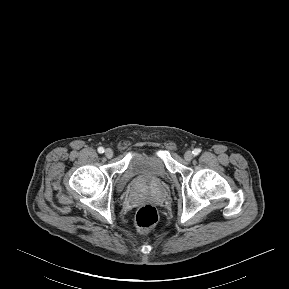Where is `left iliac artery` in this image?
<instances>
[{
	"instance_id": "obj_1",
	"label": "left iliac artery",
	"mask_w": 289,
	"mask_h": 289,
	"mask_svg": "<svg viewBox=\"0 0 289 289\" xmlns=\"http://www.w3.org/2000/svg\"><path fill=\"white\" fill-rule=\"evenodd\" d=\"M200 151H201L200 149L196 148L193 150V154L198 155L200 153Z\"/></svg>"
}]
</instances>
